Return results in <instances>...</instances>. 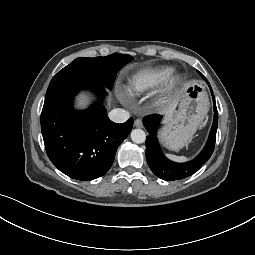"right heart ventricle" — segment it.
<instances>
[{
	"label": "right heart ventricle",
	"mask_w": 255,
	"mask_h": 255,
	"mask_svg": "<svg viewBox=\"0 0 255 255\" xmlns=\"http://www.w3.org/2000/svg\"><path fill=\"white\" fill-rule=\"evenodd\" d=\"M173 73L172 67H152L135 73L129 83L133 93L150 92L165 83Z\"/></svg>",
	"instance_id": "e07e8e85"
}]
</instances>
